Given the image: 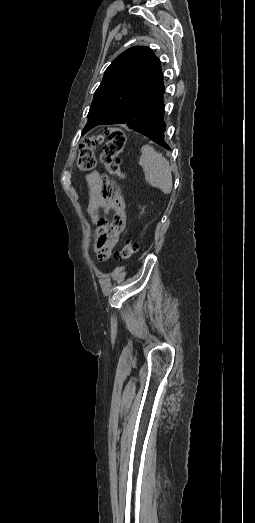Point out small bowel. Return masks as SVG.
Returning <instances> with one entry per match:
<instances>
[{
    "instance_id": "c3829d8e",
    "label": "small bowel",
    "mask_w": 255,
    "mask_h": 523,
    "mask_svg": "<svg viewBox=\"0 0 255 523\" xmlns=\"http://www.w3.org/2000/svg\"><path fill=\"white\" fill-rule=\"evenodd\" d=\"M89 196L86 212L95 226L94 251L98 260H108L126 226L125 201L117 185L99 172L87 176ZM112 211V221L107 214Z\"/></svg>"
}]
</instances>
